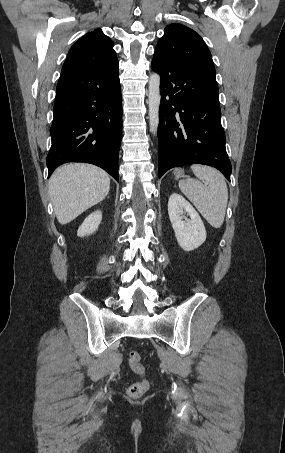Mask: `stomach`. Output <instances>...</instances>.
<instances>
[{
    "mask_svg": "<svg viewBox=\"0 0 285 453\" xmlns=\"http://www.w3.org/2000/svg\"><path fill=\"white\" fill-rule=\"evenodd\" d=\"M174 175L176 179L184 177V171L182 169H176Z\"/></svg>",
    "mask_w": 285,
    "mask_h": 453,
    "instance_id": "obj_1",
    "label": "stomach"
}]
</instances>
